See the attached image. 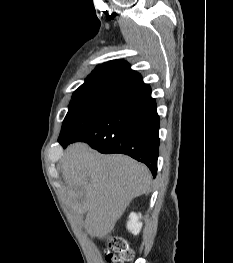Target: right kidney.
<instances>
[{
  "mask_svg": "<svg viewBox=\"0 0 233 263\" xmlns=\"http://www.w3.org/2000/svg\"><path fill=\"white\" fill-rule=\"evenodd\" d=\"M141 214L131 213L129 215V221L127 222V228L130 232L137 235L142 227V223L139 221Z\"/></svg>",
  "mask_w": 233,
  "mask_h": 263,
  "instance_id": "right-kidney-1",
  "label": "right kidney"
}]
</instances>
